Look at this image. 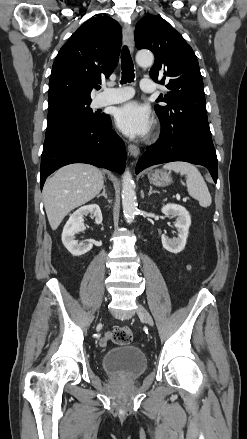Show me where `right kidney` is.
<instances>
[{
    "mask_svg": "<svg viewBox=\"0 0 247 439\" xmlns=\"http://www.w3.org/2000/svg\"><path fill=\"white\" fill-rule=\"evenodd\" d=\"M92 214L96 224L102 223V213L97 204L83 206L76 210L67 221L62 232V243L73 256H81L92 249L91 243H79L75 235L85 230L83 217Z\"/></svg>",
    "mask_w": 247,
    "mask_h": 439,
    "instance_id": "1",
    "label": "right kidney"
}]
</instances>
